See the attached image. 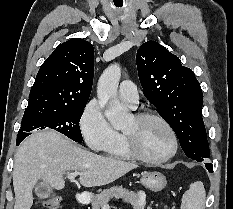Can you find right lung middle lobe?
<instances>
[{"instance_id": "1", "label": "right lung middle lobe", "mask_w": 233, "mask_h": 209, "mask_svg": "<svg viewBox=\"0 0 233 209\" xmlns=\"http://www.w3.org/2000/svg\"><path fill=\"white\" fill-rule=\"evenodd\" d=\"M87 102L69 105H33L27 106L22 118L17 139H25L34 129H54L76 142H82L79 126L83 109Z\"/></svg>"}]
</instances>
